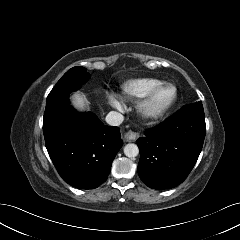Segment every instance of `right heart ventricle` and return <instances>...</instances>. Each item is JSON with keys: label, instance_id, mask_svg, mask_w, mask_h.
Returning <instances> with one entry per match:
<instances>
[{"label": "right heart ventricle", "instance_id": "obj_1", "mask_svg": "<svg viewBox=\"0 0 240 240\" xmlns=\"http://www.w3.org/2000/svg\"><path fill=\"white\" fill-rule=\"evenodd\" d=\"M156 78H138L125 82L120 88V95L125 100H138L143 98L151 89L162 84Z\"/></svg>", "mask_w": 240, "mask_h": 240}]
</instances>
